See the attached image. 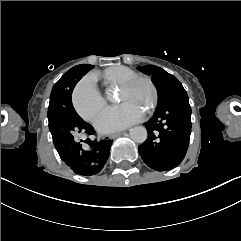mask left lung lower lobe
Listing matches in <instances>:
<instances>
[{
  "label": "left lung lower lobe",
  "mask_w": 241,
  "mask_h": 241,
  "mask_svg": "<svg viewBox=\"0 0 241 241\" xmlns=\"http://www.w3.org/2000/svg\"><path fill=\"white\" fill-rule=\"evenodd\" d=\"M147 140L139 146L145 164L157 171H168L184 159L191 134V107L186 92L173 95L159 105L144 123Z\"/></svg>",
  "instance_id": "left-lung-lower-lobe-1"
}]
</instances>
